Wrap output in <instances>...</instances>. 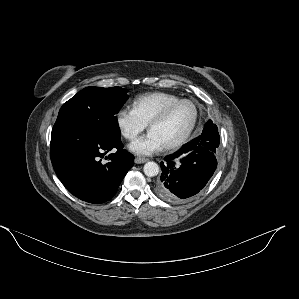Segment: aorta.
I'll use <instances>...</instances> for the list:
<instances>
[{
	"label": "aorta",
	"mask_w": 299,
	"mask_h": 299,
	"mask_svg": "<svg viewBox=\"0 0 299 299\" xmlns=\"http://www.w3.org/2000/svg\"><path fill=\"white\" fill-rule=\"evenodd\" d=\"M143 171L146 176L154 177V176L158 175V173H159V166L157 163H155L153 161L147 162L144 165Z\"/></svg>",
	"instance_id": "762f6f07"
}]
</instances>
